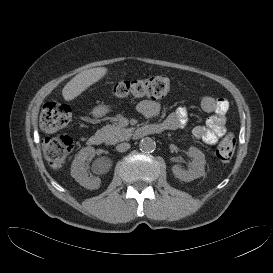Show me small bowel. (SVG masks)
Here are the masks:
<instances>
[{
  "label": "small bowel",
  "mask_w": 273,
  "mask_h": 273,
  "mask_svg": "<svg viewBox=\"0 0 273 273\" xmlns=\"http://www.w3.org/2000/svg\"><path fill=\"white\" fill-rule=\"evenodd\" d=\"M201 107L205 112L214 113L208 118L204 125L196 126L193 134L196 138L202 140L208 145H215L226 134L227 112L229 109L228 101L224 98H215L206 96L201 101ZM138 111L152 123L160 115L159 104L150 99L142 100L137 105ZM187 110L185 107H179L172 112L164 121L168 130H178L185 127L187 123Z\"/></svg>",
  "instance_id": "obj_1"
}]
</instances>
